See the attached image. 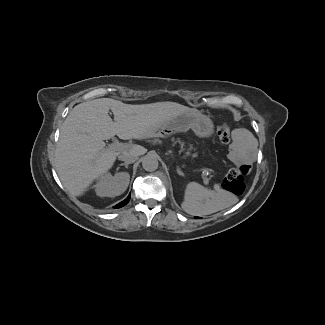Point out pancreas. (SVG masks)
<instances>
[{
	"label": "pancreas",
	"instance_id": "cf45deb5",
	"mask_svg": "<svg viewBox=\"0 0 325 325\" xmlns=\"http://www.w3.org/2000/svg\"><path fill=\"white\" fill-rule=\"evenodd\" d=\"M166 141L168 145L174 146L176 149H179L180 152L183 153L190 160L194 161L198 159V152L192 146H189V143L187 141H184L172 135L168 136Z\"/></svg>",
	"mask_w": 325,
	"mask_h": 325
}]
</instances>
